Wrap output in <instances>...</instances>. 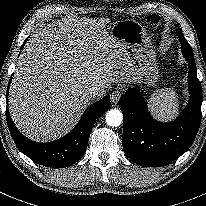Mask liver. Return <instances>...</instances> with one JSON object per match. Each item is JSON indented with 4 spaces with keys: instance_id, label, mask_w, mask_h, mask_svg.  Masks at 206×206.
Returning a JSON list of instances; mask_svg holds the SVG:
<instances>
[{
    "instance_id": "obj_1",
    "label": "liver",
    "mask_w": 206,
    "mask_h": 206,
    "mask_svg": "<svg viewBox=\"0 0 206 206\" xmlns=\"http://www.w3.org/2000/svg\"><path fill=\"white\" fill-rule=\"evenodd\" d=\"M105 23L68 16L32 34L9 91L12 120L28 138L62 137L93 102L90 90L136 81L135 61Z\"/></svg>"
}]
</instances>
